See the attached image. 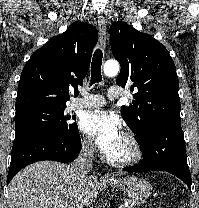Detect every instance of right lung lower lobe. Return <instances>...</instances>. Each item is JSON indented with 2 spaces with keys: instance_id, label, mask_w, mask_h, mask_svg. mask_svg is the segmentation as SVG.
Instances as JSON below:
<instances>
[{
  "instance_id": "right-lung-lower-lobe-1",
  "label": "right lung lower lobe",
  "mask_w": 199,
  "mask_h": 208,
  "mask_svg": "<svg viewBox=\"0 0 199 208\" xmlns=\"http://www.w3.org/2000/svg\"><path fill=\"white\" fill-rule=\"evenodd\" d=\"M81 150V138L78 128L64 137L47 133L33 132L16 138L12 147L11 163L7 184L25 166L42 160L70 162Z\"/></svg>"
}]
</instances>
